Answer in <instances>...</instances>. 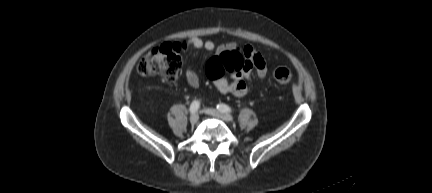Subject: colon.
Wrapping results in <instances>:
<instances>
[{"label": "colon", "instance_id": "colon-1", "mask_svg": "<svg viewBox=\"0 0 432 193\" xmlns=\"http://www.w3.org/2000/svg\"><path fill=\"white\" fill-rule=\"evenodd\" d=\"M181 46L177 43H164L152 49L137 64V70L144 76H161L169 81L175 80L181 65ZM246 66V58L239 51H225L219 57L211 58L206 66L207 74L215 80L225 74L241 71ZM276 83L287 85L292 80L289 69L281 67L274 71Z\"/></svg>", "mask_w": 432, "mask_h": 193}]
</instances>
